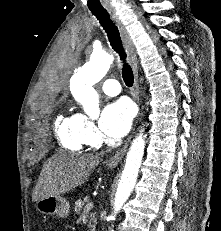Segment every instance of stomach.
I'll use <instances>...</instances> for the list:
<instances>
[{"instance_id": "stomach-1", "label": "stomach", "mask_w": 221, "mask_h": 231, "mask_svg": "<svg viewBox=\"0 0 221 231\" xmlns=\"http://www.w3.org/2000/svg\"><path fill=\"white\" fill-rule=\"evenodd\" d=\"M36 210L46 215L66 218L70 212L69 202L62 196H48L36 202Z\"/></svg>"}]
</instances>
